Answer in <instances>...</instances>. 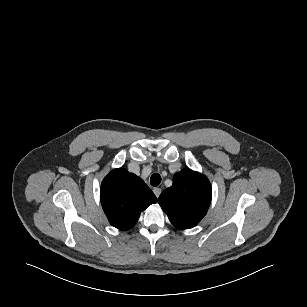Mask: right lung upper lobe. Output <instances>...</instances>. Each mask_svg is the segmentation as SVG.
<instances>
[{"mask_svg":"<svg viewBox=\"0 0 307 307\" xmlns=\"http://www.w3.org/2000/svg\"><path fill=\"white\" fill-rule=\"evenodd\" d=\"M101 204L110 224L120 230L132 228L142 211L157 198L145 182L126 169H114L103 180Z\"/></svg>","mask_w":307,"mask_h":307,"instance_id":"right-lung-upper-lobe-1","label":"right lung upper lobe"}]
</instances>
